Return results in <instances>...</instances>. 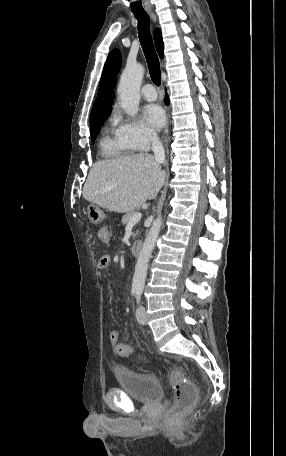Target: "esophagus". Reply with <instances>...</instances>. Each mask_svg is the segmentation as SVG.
I'll return each instance as SVG.
<instances>
[{"label":"esophagus","mask_w":286,"mask_h":456,"mask_svg":"<svg viewBox=\"0 0 286 456\" xmlns=\"http://www.w3.org/2000/svg\"><path fill=\"white\" fill-rule=\"evenodd\" d=\"M150 16L153 22H156V15L153 12H150Z\"/></svg>","instance_id":"obj_1"}]
</instances>
